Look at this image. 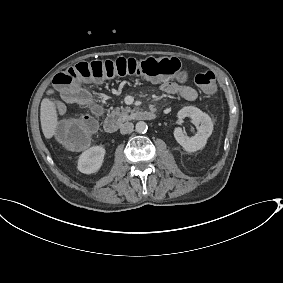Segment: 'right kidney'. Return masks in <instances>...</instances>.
<instances>
[{
  "label": "right kidney",
  "instance_id": "ca27d5eb",
  "mask_svg": "<svg viewBox=\"0 0 283 283\" xmlns=\"http://www.w3.org/2000/svg\"><path fill=\"white\" fill-rule=\"evenodd\" d=\"M103 146H92L81 153L77 160V168L83 174H93L100 170L105 157Z\"/></svg>",
  "mask_w": 283,
  "mask_h": 283
}]
</instances>
